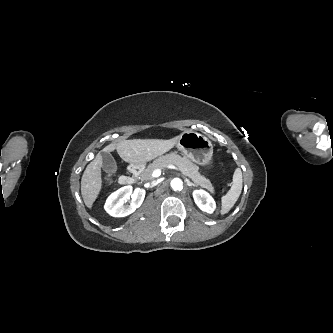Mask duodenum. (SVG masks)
Wrapping results in <instances>:
<instances>
[{"mask_svg":"<svg viewBox=\"0 0 333 333\" xmlns=\"http://www.w3.org/2000/svg\"><path fill=\"white\" fill-rule=\"evenodd\" d=\"M140 174V169L138 167L132 166L127 175L121 177V183L123 185H129L136 182Z\"/></svg>","mask_w":333,"mask_h":333,"instance_id":"duodenum-1","label":"duodenum"}]
</instances>
